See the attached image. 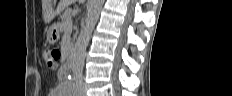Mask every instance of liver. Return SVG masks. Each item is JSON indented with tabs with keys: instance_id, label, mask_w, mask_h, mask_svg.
Returning a JSON list of instances; mask_svg holds the SVG:
<instances>
[{
	"instance_id": "6515ba94",
	"label": "liver",
	"mask_w": 232,
	"mask_h": 96,
	"mask_svg": "<svg viewBox=\"0 0 232 96\" xmlns=\"http://www.w3.org/2000/svg\"><path fill=\"white\" fill-rule=\"evenodd\" d=\"M73 0H59L56 10L52 7L53 0H42V15L45 23H50Z\"/></svg>"
}]
</instances>
